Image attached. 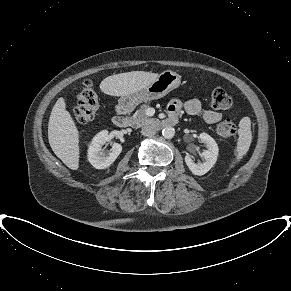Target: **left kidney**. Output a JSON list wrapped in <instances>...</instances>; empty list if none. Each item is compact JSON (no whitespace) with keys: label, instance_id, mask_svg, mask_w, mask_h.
Here are the masks:
<instances>
[{"label":"left kidney","instance_id":"obj_1","mask_svg":"<svg viewBox=\"0 0 291 291\" xmlns=\"http://www.w3.org/2000/svg\"><path fill=\"white\" fill-rule=\"evenodd\" d=\"M201 142L205 143L207 150L202 154L205 159L203 163H195L189 155L185 156V163L194 175L206 174L216 163L218 156V145L216 141L207 133H201L199 135Z\"/></svg>","mask_w":291,"mask_h":291}]
</instances>
